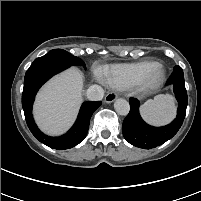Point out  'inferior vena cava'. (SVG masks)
Masks as SVG:
<instances>
[{
  "mask_svg": "<svg viewBox=\"0 0 201 201\" xmlns=\"http://www.w3.org/2000/svg\"><path fill=\"white\" fill-rule=\"evenodd\" d=\"M104 96V90L99 85H92L86 90V97L90 101L102 100Z\"/></svg>",
  "mask_w": 201,
  "mask_h": 201,
  "instance_id": "inferior-vena-cava-1",
  "label": "inferior vena cava"
}]
</instances>
